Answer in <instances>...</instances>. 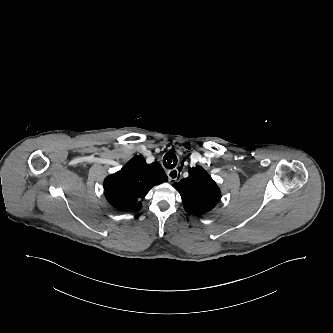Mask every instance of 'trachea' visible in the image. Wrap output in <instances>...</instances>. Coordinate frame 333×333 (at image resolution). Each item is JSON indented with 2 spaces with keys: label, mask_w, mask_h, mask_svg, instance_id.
<instances>
[{
  "label": "trachea",
  "mask_w": 333,
  "mask_h": 333,
  "mask_svg": "<svg viewBox=\"0 0 333 333\" xmlns=\"http://www.w3.org/2000/svg\"><path fill=\"white\" fill-rule=\"evenodd\" d=\"M177 156L173 152H168L163 157V164L167 169H172L177 165Z\"/></svg>",
  "instance_id": "3493384b"
}]
</instances>
